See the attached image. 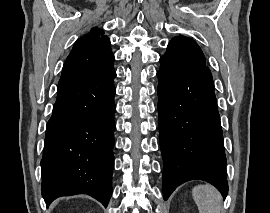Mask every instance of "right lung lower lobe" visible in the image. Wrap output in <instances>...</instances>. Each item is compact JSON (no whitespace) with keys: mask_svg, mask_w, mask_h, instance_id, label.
Instances as JSON below:
<instances>
[{"mask_svg":"<svg viewBox=\"0 0 270 213\" xmlns=\"http://www.w3.org/2000/svg\"><path fill=\"white\" fill-rule=\"evenodd\" d=\"M115 77L112 71L58 89L41 160V192L47 205L61 196L85 193L107 207L114 165Z\"/></svg>","mask_w":270,"mask_h":213,"instance_id":"right-lung-lower-lobe-1","label":"right lung lower lobe"}]
</instances>
